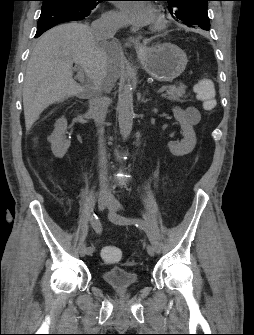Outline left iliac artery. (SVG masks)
Segmentation results:
<instances>
[{"mask_svg":"<svg viewBox=\"0 0 254 335\" xmlns=\"http://www.w3.org/2000/svg\"><path fill=\"white\" fill-rule=\"evenodd\" d=\"M114 219L118 223L134 224L136 227H139V228L143 229L145 231L151 245L154 247L155 251L157 253L161 252V246H160L154 232L152 231L151 227L148 224H146L144 221L139 220V219H135V218H131V217H127V216H122V215H119V214H115Z\"/></svg>","mask_w":254,"mask_h":335,"instance_id":"1","label":"left iliac artery"}]
</instances>
